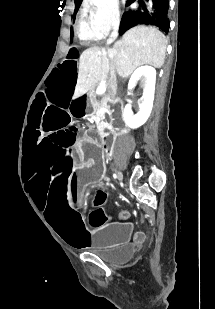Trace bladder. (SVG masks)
I'll return each instance as SVG.
<instances>
[{"label":"bladder","instance_id":"obj_1","mask_svg":"<svg viewBox=\"0 0 215 309\" xmlns=\"http://www.w3.org/2000/svg\"><path fill=\"white\" fill-rule=\"evenodd\" d=\"M135 253L136 248L133 244H125L113 252L102 253L99 256L108 263L119 265L130 261Z\"/></svg>","mask_w":215,"mask_h":309}]
</instances>
